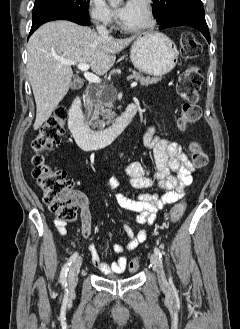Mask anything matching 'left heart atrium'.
I'll return each instance as SVG.
<instances>
[{"instance_id":"left-heart-atrium-1","label":"left heart atrium","mask_w":240,"mask_h":329,"mask_svg":"<svg viewBox=\"0 0 240 329\" xmlns=\"http://www.w3.org/2000/svg\"><path fill=\"white\" fill-rule=\"evenodd\" d=\"M133 4V0H127L125 2H123L116 10H115V14L120 18V19H125L132 7Z\"/></svg>"}]
</instances>
